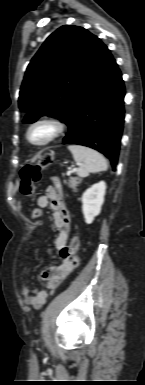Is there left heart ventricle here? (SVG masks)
<instances>
[{"mask_svg": "<svg viewBox=\"0 0 145 385\" xmlns=\"http://www.w3.org/2000/svg\"><path fill=\"white\" fill-rule=\"evenodd\" d=\"M49 134H50V129L49 128H47V127H39V128L35 129L32 132L31 138L34 141H42L45 138H47Z\"/></svg>", "mask_w": 145, "mask_h": 385, "instance_id": "b2bd125f", "label": "left heart ventricle"}]
</instances>
